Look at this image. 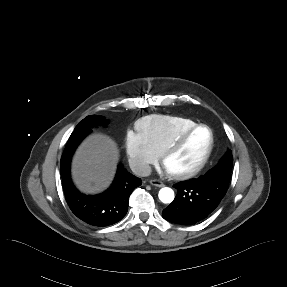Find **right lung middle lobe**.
Listing matches in <instances>:
<instances>
[{"label":"right lung middle lobe","mask_w":287,"mask_h":287,"mask_svg":"<svg viewBox=\"0 0 287 287\" xmlns=\"http://www.w3.org/2000/svg\"><path fill=\"white\" fill-rule=\"evenodd\" d=\"M107 120L102 116L90 115L84 118L79 124L76 126L75 130L81 128H92L94 125H105Z\"/></svg>","instance_id":"dd1d6c3e"}]
</instances>
